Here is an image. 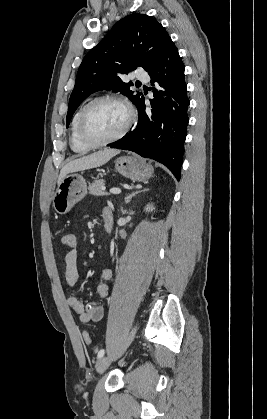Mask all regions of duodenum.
<instances>
[{
  "mask_svg": "<svg viewBox=\"0 0 267 419\" xmlns=\"http://www.w3.org/2000/svg\"><path fill=\"white\" fill-rule=\"evenodd\" d=\"M113 229V219L111 217L104 219V230L106 233H110Z\"/></svg>",
  "mask_w": 267,
  "mask_h": 419,
  "instance_id": "1",
  "label": "duodenum"
}]
</instances>
